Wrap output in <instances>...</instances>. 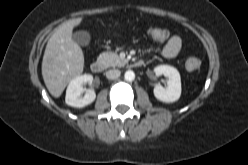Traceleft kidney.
Segmentation results:
<instances>
[{
  "label": "left kidney",
  "mask_w": 248,
  "mask_h": 165,
  "mask_svg": "<svg viewBox=\"0 0 248 165\" xmlns=\"http://www.w3.org/2000/svg\"><path fill=\"white\" fill-rule=\"evenodd\" d=\"M156 75L167 77V86L164 88L160 84L154 87V96L165 103L177 101L181 95V79L178 70L169 65H159L155 67Z\"/></svg>",
  "instance_id": "1"
}]
</instances>
